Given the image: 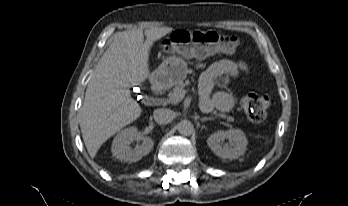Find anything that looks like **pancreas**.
<instances>
[{"mask_svg":"<svg viewBox=\"0 0 348 206\" xmlns=\"http://www.w3.org/2000/svg\"><path fill=\"white\" fill-rule=\"evenodd\" d=\"M189 83H190L189 80H186L185 82H180L179 84H177L173 88V92H180V91L185 90V87L187 85H189ZM169 95H171V93ZM213 114H214V117H212V119H214L216 117H219V118L225 119L227 122H233L234 121V118L231 117V116H228V115H225V114H216V113H213Z\"/></svg>","mask_w":348,"mask_h":206,"instance_id":"obj_1","label":"pancreas"}]
</instances>
